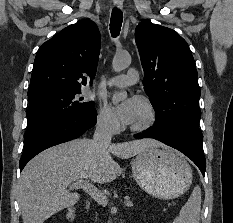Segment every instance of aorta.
<instances>
[{"label": "aorta", "mask_w": 233, "mask_h": 223, "mask_svg": "<svg viewBox=\"0 0 233 223\" xmlns=\"http://www.w3.org/2000/svg\"><path fill=\"white\" fill-rule=\"evenodd\" d=\"M131 64V56H123V58H113L112 68L114 72H122ZM127 98V92H115L112 96V104L116 106L119 102H124Z\"/></svg>", "instance_id": "obj_1"}]
</instances>
